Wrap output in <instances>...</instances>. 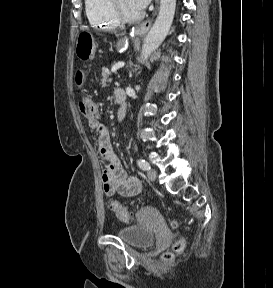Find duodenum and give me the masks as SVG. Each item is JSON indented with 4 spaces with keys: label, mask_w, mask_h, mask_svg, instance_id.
Masks as SVG:
<instances>
[{
    "label": "duodenum",
    "mask_w": 273,
    "mask_h": 288,
    "mask_svg": "<svg viewBox=\"0 0 273 288\" xmlns=\"http://www.w3.org/2000/svg\"><path fill=\"white\" fill-rule=\"evenodd\" d=\"M116 101L121 105L120 111L118 113L119 120H122L125 115V103H126V95L121 90L115 91Z\"/></svg>",
    "instance_id": "duodenum-1"
}]
</instances>
